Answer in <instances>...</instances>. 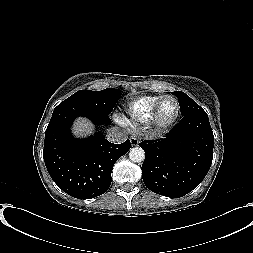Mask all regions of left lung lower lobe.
<instances>
[{"label": "left lung lower lobe", "instance_id": "1", "mask_svg": "<svg viewBox=\"0 0 253 253\" xmlns=\"http://www.w3.org/2000/svg\"><path fill=\"white\" fill-rule=\"evenodd\" d=\"M214 136L206 112L185 115L165 138L142 141L146 157L142 178L160 195L179 198L195 189L208 173Z\"/></svg>", "mask_w": 253, "mask_h": 253}]
</instances>
